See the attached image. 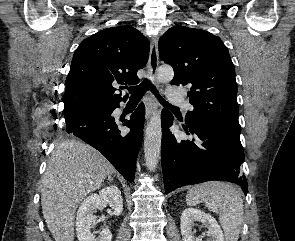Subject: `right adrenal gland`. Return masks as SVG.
Segmentation results:
<instances>
[{
	"instance_id": "obj_1",
	"label": "right adrenal gland",
	"mask_w": 295,
	"mask_h": 241,
	"mask_svg": "<svg viewBox=\"0 0 295 241\" xmlns=\"http://www.w3.org/2000/svg\"><path fill=\"white\" fill-rule=\"evenodd\" d=\"M108 180H109V181H112V177H111V176H108Z\"/></svg>"
}]
</instances>
